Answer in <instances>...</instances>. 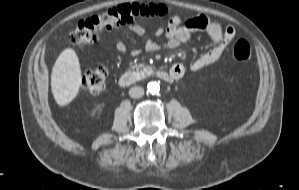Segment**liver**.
I'll list each match as a JSON object with an SVG mask.
<instances>
[{"instance_id": "liver-1", "label": "liver", "mask_w": 299, "mask_h": 190, "mask_svg": "<svg viewBox=\"0 0 299 190\" xmlns=\"http://www.w3.org/2000/svg\"><path fill=\"white\" fill-rule=\"evenodd\" d=\"M80 74L78 62L72 49L64 50L53 67L51 88L59 104L70 102L78 91Z\"/></svg>"}]
</instances>
